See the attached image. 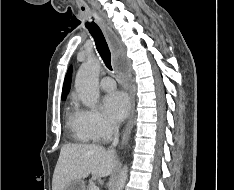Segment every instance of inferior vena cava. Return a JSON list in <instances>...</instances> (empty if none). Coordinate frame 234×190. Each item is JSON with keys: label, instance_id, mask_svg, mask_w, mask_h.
Masks as SVG:
<instances>
[{"label": "inferior vena cava", "instance_id": "obj_1", "mask_svg": "<svg viewBox=\"0 0 234 190\" xmlns=\"http://www.w3.org/2000/svg\"><path fill=\"white\" fill-rule=\"evenodd\" d=\"M112 129H113V134H114V139H113V142H112V145L110 147V150L111 152H114V147L118 144L119 142V128L118 126L114 123L112 125Z\"/></svg>", "mask_w": 234, "mask_h": 190}]
</instances>
